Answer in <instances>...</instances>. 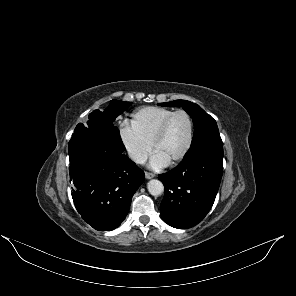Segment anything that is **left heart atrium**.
I'll return each mask as SVG.
<instances>
[{"label": "left heart atrium", "instance_id": "obj_1", "mask_svg": "<svg viewBox=\"0 0 296 296\" xmlns=\"http://www.w3.org/2000/svg\"><path fill=\"white\" fill-rule=\"evenodd\" d=\"M168 163L162 159L157 153H153L151 160H150V166L154 169L162 168L166 166Z\"/></svg>", "mask_w": 296, "mask_h": 296}]
</instances>
